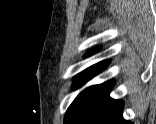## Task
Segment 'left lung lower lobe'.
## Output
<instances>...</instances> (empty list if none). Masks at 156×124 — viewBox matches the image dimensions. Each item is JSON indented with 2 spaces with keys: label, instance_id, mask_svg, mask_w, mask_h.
<instances>
[{
  "label": "left lung lower lobe",
  "instance_id": "obj_1",
  "mask_svg": "<svg viewBox=\"0 0 156 124\" xmlns=\"http://www.w3.org/2000/svg\"><path fill=\"white\" fill-rule=\"evenodd\" d=\"M113 81L106 83L79 124H132L122 117L123 102L109 97Z\"/></svg>",
  "mask_w": 156,
  "mask_h": 124
}]
</instances>
